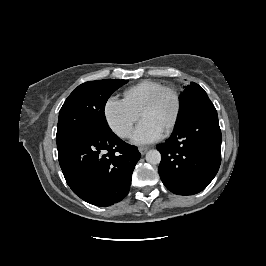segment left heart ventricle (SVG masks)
<instances>
[{"label": "left heart ventricle", "instance_id": "left-heart-ventricle-1", "mask_svg": "<svg viewBox=\"0 0 266 266\" xmlns=\"http://www.w3.org/2000/svg\"><path fill=\"white\" fill-rule=\"evenodd\" d=\"M175 108L173 94L165 92L153 106L143 112L142 119H150L165 129L174 116Z\"/></svg>", "mask_w": 266, "mask_h": 266}]
</instances>
